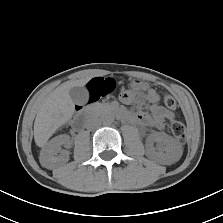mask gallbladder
Returning a JSON list of instances; mask_svg holds the SVG:
<instances>
[{"label":"gallbladder","mask_w":223,"mask_h":223,"mask_svg":"<svg viewBox=\"0 0 223 223\" xmlns=\"http://www.w3.org/2000/svg\"><path fill=\"white\" fill-rule=\"evenodd\" d=\"M69 94L73 102L77 104L86 103L89 97L88 90L83 86L72 87L69 91Z\"/></svg>","instance_id":"gallbladder-1"}]
</instances>
